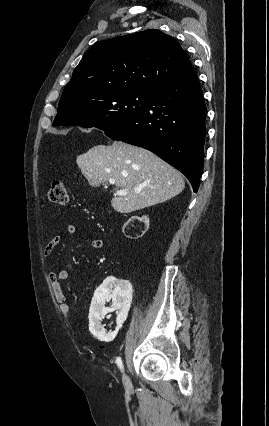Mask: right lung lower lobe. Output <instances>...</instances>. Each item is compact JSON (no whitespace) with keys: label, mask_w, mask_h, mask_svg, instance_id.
I'll return each mask as SVG.
<instances>
[{"label":"right lung lower lobe","mask_w":269,"mask_h":426,"mask_svg":"<svg viewBox=\"0 0 269 426\" xmlns=\"http://www.w3.org/2000/svg\"><path fill=\"white\" fill-rule=\"evenodd\" d=\"M206 114L193 70L154 88L141 112L105 135L157 154L181 171L196 193L203 170Z\"/></svg>","instance_id":"98d812e1"}]
</instances>
